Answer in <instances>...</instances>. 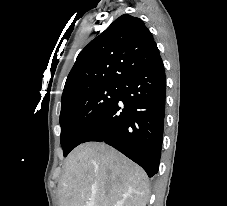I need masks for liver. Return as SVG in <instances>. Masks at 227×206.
Returning <instances> with one entry per match:
<instances>
[{
  "mask_svg": "<svg viewBox=\"0 0 227 206\" xmlns=\"http://www.w3.org/2000/svg\"><path fill=\"white\" fill-rule=\"evenodd\" d=\"M57 194L59 206H146L150 189L137 164L105 143L87 142L68 155Z\"/></svg>",
  "mask_w": 227,
  "mask_h": 206,
  "instance_id": "liver-1",
  "label": "liver"
}]
</instances>
